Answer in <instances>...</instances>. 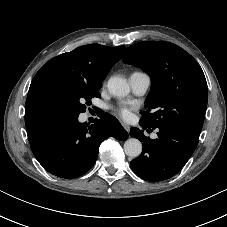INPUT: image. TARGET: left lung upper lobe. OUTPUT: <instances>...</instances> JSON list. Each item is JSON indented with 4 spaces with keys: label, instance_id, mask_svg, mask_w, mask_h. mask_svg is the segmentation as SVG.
<instances>
[{
    "label": "left lung upper lobe",
    "instance_id": "obj_1",
    "mask_svg": "<svg viewBox=\"0 0 227 227\" xmlns=\"http://www.w3.org/2000/svg\"><path fill=\"white\" fill-rule=\"evenodd\" d=\"M122 60L151 78L142 123L153 129L172 126L199 136L208 87L201 67L189 53L170 42L144 41L128 47Z\"/></svg>",
    "mask_w": 227,
    "mask_h": 227
}]
</instances>
